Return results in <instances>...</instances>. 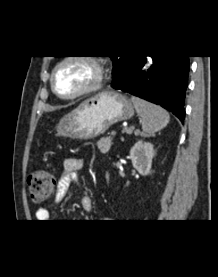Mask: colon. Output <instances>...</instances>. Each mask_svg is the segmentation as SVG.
I'll use <instances>...</instances> for the list:
<instances>
[{"instance_id":"obj_1","label":"colon","mask_w":218,"mask_h":277,"mask_svg":"<svg viewBox=\"0 0 218 277\" xmlns=\"http://www.w3.org/2000/svg\"><path fill=\"white\" fill-rule=\"evenodd\" d=\"M28 186L31 200L40 203L47 200L53 193L55 179L48 171H35L29 176Z\"/></svg>"}]
</instances>
